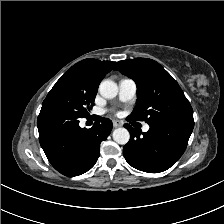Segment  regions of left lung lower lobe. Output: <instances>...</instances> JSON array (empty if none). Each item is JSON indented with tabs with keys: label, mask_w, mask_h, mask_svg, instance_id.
Here are the masks:
<instances>
[{
	"label": "left lung lower lobe",
	"mask_w": 224,
	"mask_h": 224,
	"mask_svg": "<svg viewBox=\"0 0 224 224\" xmlns=\"http://www.w3.org/2000/svg\"><path fill=\"white\" fill-rule=\"evenodd\" d=\"M144 133L129 124L124 126L130 132V141L124 146L126 161L134 168L159 173L169 169L184 153L194 122L173 121L149 124Z\"/></svg>",
	"instance_id": "left-lung-lower-lobe-1"
}]
</instances>
